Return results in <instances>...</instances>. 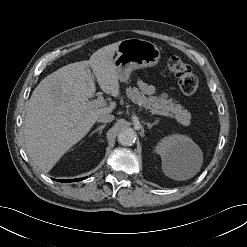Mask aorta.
<instances>
[{
  "label": "aorta",
  "instance_id": "obj_1",
  "mask_svg": "<svg viewBox=\"0 0 247 247\" xmlns=\"http://www.w3.org/2000/svg\"><path fill=\"white\" fill-rule=\"evenodd\" d=\"M118 142L123 146H131L136 140V133L131 128H126L118 134Z\"/></svg>",
  "mask_w": 247,
  "mask_h": 247
}]
</instances>
